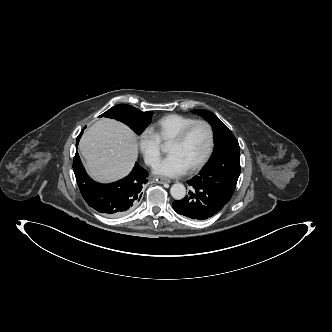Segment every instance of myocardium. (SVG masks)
Listing matches in <instances>:
<instances>
[{
  "instance_id": "f54148a6",
  "label": "myocardium",
  "mask_w": 332,
  "mask_h": 332,
  "mask_svg": "<svg viewBox=\"0 0 332 332\" xmlns=\"http://www.w3.org/2000/svg\"><path fill=\"white\" fill-rule=\"evenodd\" d=\"M198 124H202L208 128L209 135H210L209 145H208V148H207L206 152L204 153V155L197 162H195L193 165H191L189 167L190 171H196V170L200 169L212 155V152H213L214 146H215V131H214L212 124L204 119H196V120L190 122L189 124H187L186 126H184L170 141V143H175V144H179V143L183 142L185 140L186 136L188 135L189 131L195 125H198Z\"/></svg>"
}]
</instances>
